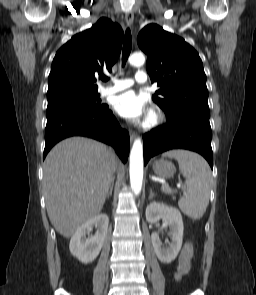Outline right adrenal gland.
Wrapping results in <instances>:
<instances>
[{
	"label": "right adrenal gland",
	"instance_id": "2a0ac1e0",
	"mask_svg": "<svg viewBox=\"0 0 256 295\" xmlns=\"http://www.w3.org/2000/svg\"><path fill=\"white\" fill-rule=\"evenodd\" d=\"M113 186H114V177L112 179V182H111V185H110V188H109V191L107 193V198H109L110 195H112V191H113Z\"/></svg>",
	"mask_w": 256,
	"mask_h": 295
}]
</instances>
